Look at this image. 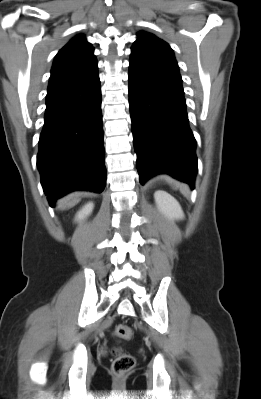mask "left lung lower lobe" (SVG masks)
Returning a JSON list of instances; mask_svg holds the SVG:
<instances>
[{
    "instance_id": "obj_1",
    "label": "left lung lower lobe",
    "mask_w": 261,
    "mask_h": 399,
    "mask_svg": "<svg viewBox=\"0 0 261 399\" xmlns=\"http://www.w3.org/2000/svg\"><path fill=\"white\" fill-rule=\"evenodd\" d=\"M129 105L140 183L167 173L193 189L196 141L182 80L130 66Z\"/></svg>"
}]
</instances>
